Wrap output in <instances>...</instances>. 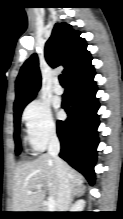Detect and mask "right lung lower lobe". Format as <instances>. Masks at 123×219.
<instances>
[{"label":"right lung lower lobe","mask_w":123,"mask_h":219,"mask_svg":"<svg viewBox=\"0 0 123 219\" xmlns=\"http://www.w3.org/2000/svg\"><path fill=\"white\" fill-rule=\"evenodd\" d=\"M94 76V67L89 60L67 78L68 88L63 95L62 108L68 118L57 122V135L61 142L59 156L91 184L95 180L94 165L99 143V103L95 97L97 86Z\"/></svg>","instance_id":"obj_1"}]
</instances>
